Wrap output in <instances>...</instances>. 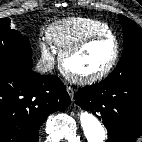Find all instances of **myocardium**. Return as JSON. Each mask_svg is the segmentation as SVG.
<instances>
[{
  "instance_id": "1",
  "label": "myocardium",
  "mask_w": 142,
  "mask_h": 142,
  "mask_svg": "<svg viewBox=\"0 0 142 142\" xmlns=\"http://www.w3.org/2000/svg\"><path fill=\"white\" fill-rule=\"evenodd\" d=\"M105 39H109L114 42L115 51H114V55H113L112 59L103 69H101L95 73H92V74L80 75V74H77V73L71 71L67 67V61L71 57H73V56L77 55L78 53H80L81 51H83L87 46H89L93 42H96L99 40H105ZM119 56H120V44H119L118 39L112 33L111 34H99V35L89 36V37L79 41L75 45L71 46L70 48L66 49L65 51L61 52L60 57H59V63H60V68H61L62 72L68 78H70L76 82L82 83V84H91V83L97 82V81L103 79L104 77H106L113 70V68L116 66Z\"/></svg>"
}]
</instances>
